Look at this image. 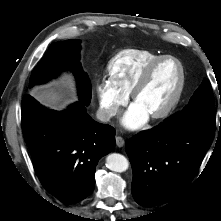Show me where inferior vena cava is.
<instances>
[{
  "mask_svg": "<svg viewBox=\"0 0 221 221\" xmlns=\"http://www.w3.org/2000/svg\"><path fill=\"white\" fill-rule=\"evenodd\" d=\"M116 113H117L116 107L99 108L96 112V118L101 122H108L111 117L116 115Z\"/></svg>",
  "mask_w": 221,
  "mask_h": 221,
  "instance_id": "inferior-vena-cava-1",
  "label": "inferior vena cava"
}]
</instances>
